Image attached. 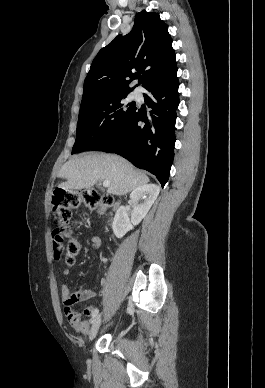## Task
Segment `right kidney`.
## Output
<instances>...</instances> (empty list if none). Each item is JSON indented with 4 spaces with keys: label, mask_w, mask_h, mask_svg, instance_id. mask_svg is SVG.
<instances>
[{
    "label": "right kidney",
    "mask_w": 265,
    "mask_h": 388,
    "mask_svg": "<svg viewBox=\"0 0 265 388\" xmlns=\"http://www.w3.org/2000/svg\"><path fill=\"white\" fill-rule=\"evenodd\" d=\"M160 188L155 184H145L133 190L130 194V200L137 202L138 198H143V204L133 206L131 220L128 216V210L125 206H120L113 220L112 228L116 238H123L127 232L133 230L134 226H138L148 214L151 206H153L157 196H159Z\"/></svg>",
    "instance_id": "obj_1"
}]
</instances>
